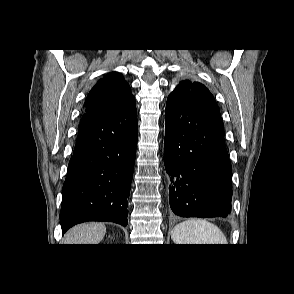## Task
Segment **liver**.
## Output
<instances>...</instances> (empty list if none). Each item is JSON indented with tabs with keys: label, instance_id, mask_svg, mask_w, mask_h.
I'll use <instances>...</instances> for the list:
<instances>
[{
	"label": "liver",
	"instance_id": "6515ba94",
	"mask_svg": "<svg viewBox=\"0 0 294 294\" xmlns=\"http://www.w3.org/2000/svg\"><path fill=\"white\" fill-rule=\"evenodd\" d=\"M106 233L103 223H84L71 228L64 237L65 244H99Z\"/></svg>",
	"mask_w": 294,
	"mask_h": 294
}]
</instances>
